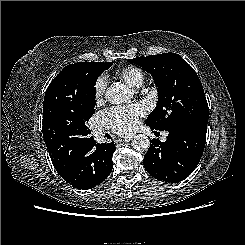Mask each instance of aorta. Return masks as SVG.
<instances>
[{"instance_id":"1","label":"aorta","mask_w":245,"mask_h":245,"mask_svg":"<svg viewBox=\"0 0 245 245\" xmlns=\"http://www.w3.org/2000/svg\"><path fill=\"white\" fill-rule=\"evenodd\" d=\"M106 100L111 104H122L131 99L132 94L122 83H114L107 88ZM131 146L136 151H145L150 146L149 138L144 134L134 136Z\"/></svg>"}]
</instances>
